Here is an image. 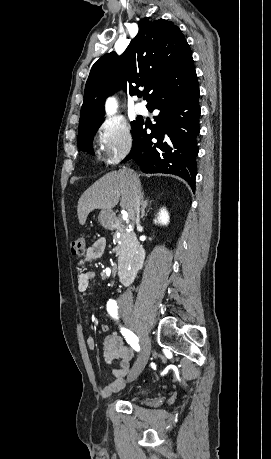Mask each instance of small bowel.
Returning <instances> with one entry per match:
<instances>
[{
	"mask_svg": "<svg viewBox=\"0 0 271 459\" xmlns=\"http://www.w3.org/2000/svg\"><path fill=\"white\" fill-rule=\"evenodd\" d=\"M106 249V239L99 238L91 246H89L79 260V266H83L91 261L100 258ZM95 278L93 271L82 270L77 277V288L80 292H84L89 288L91 281ZM102 332L108 333L110 326L107 323L100 325ZM86 343L89 349L93 350L96 347L95 339L88 336ZM103 356L106 362L119 361V367L114 370V379L101 389L102 397H110L114 393L120 391L129 377L132 374L131 361L133 359V352L124 345L122 338L116 333H108L103 339Z\"/></svg>",
	"mask_w": 271,
	"mask_h": 459,
	"instance_id": "1",
	"label": "small bowel"
}]
</instances>
